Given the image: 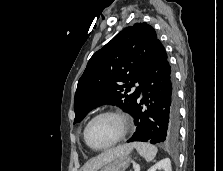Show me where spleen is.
Wrapping results in <instances>:
<instances>
[{
  "instance_id": "spleen-1",
  "label": "spleen",
  "mask_w": 223,
  "mask_h": 171,
  "mask_svg": "<svg viewBox=\"0 0 223 171\" xmlns=\"http://www.w3.org/2000/svg\"><path fill=\"white\" fill-rule=\"evenodd\" d=\"M133 146L135 147L139 155L143 157L147 162H151L158 152L157 147L149 143L135 142L133 143Z\"/></svg>"
}]
</instances>
